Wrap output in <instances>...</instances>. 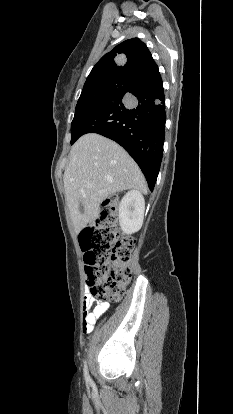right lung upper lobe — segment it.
I'll use <instances>...</instances> for the list:
<instances>
[{"label":"right lung upper lobe","instance_id":"right-lung-upper-lobe-1","mask_svg":"<svg viewBox=\"0 0 233 414\" xmlns=\"http://www.w3.org/2000/svg\"><path fill=\"white\" fill-rule=\"evenodd\" d=\"M159 73L147 46L138 38L126 40L105 54L93 67L85 83L116 76L135 81Z\"/></svg>","mask_w":233,"mask_h":414}]
</instances>
